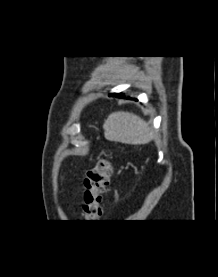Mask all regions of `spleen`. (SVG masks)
<instances>
[{
  "mask_svg": "<svg viewBox=\"0 0 218 277\" xmlns=\"http://www.w3.org/2000/svg\"><path fill=\"white\" fill-rule=\"evenodd\" d=\"M103 129L107 140L124 144H147L154 138V132L148 123L130 112L111 113L105 120Z\"/></svg>",
  "mask_w": 218,
  "mask_h": 277,
  "instance_id": "spleen-1",
  "label": "spleen"
}]
</instances>
